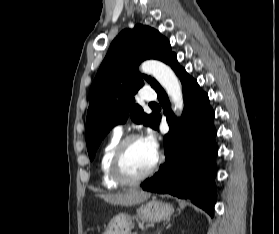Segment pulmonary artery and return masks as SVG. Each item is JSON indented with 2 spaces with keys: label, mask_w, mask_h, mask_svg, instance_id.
<instances>
[{
  "label": "pulmonary artery",
  "mask_w": 279,
  "mask_h": 234,
  "mask_svg": "<svg viewBox=\"0 0 279 234\" xmlns=\"http://www.w3.org/2000/svg\"><path fill=\"white\" fill-rule=\"evenodd\" d=\"M155 98H156V94L153 90H150V91L143 90L141 92V99L143 101H153V100H155ZM122 130H123L122 125H116L114 127L115 133H122Z\"/></svg>",
  "instance_id": "pulmonary-artery-1"
}]
</instances>
